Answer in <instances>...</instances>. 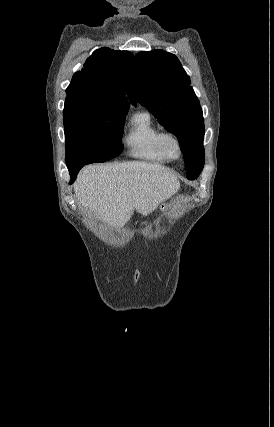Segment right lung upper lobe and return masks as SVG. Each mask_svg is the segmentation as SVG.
I'll use <instances>...</instances> for the list:
<instances>
[{
    "mask_svg": "<svg viewBox=\"0 0 274 427\" xmlns=\"http://www.w3.org/2000/svg\"><path fill=\"white\" fill-rule=\"evenodd\" d=\"M132 59L129 51L105 47L96 50L86 60L84 68L74 74L66 90L64 109L106 104L129 107L125 82Z\"/></svg>",
    "mask_w": 274,
    "mask_h": 427,
    "instance_id": "1",
    "label": "right lung upper lobe"
}]
</instances>
